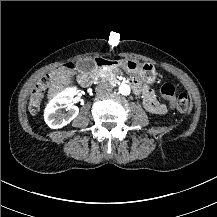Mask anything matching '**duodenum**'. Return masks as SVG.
I'll use <instances>...</instances> for the list:
<instances>
[{
    "mask_svg": "<svg viewBox=\"0 0 217 217\" xmlns=\"http://www.w3.org/2000/svg\"><path fill=\"white\" fill-rule=\"evenodd\" d=\"M94 63H95L96 67H116L119 65L118 60H112V59H107V58H102V57L96 58ZM92 80H93V75H91V74L86 75L83 78V82L86 84L92 82ZM132 85L134 88L139 87V84L136 81H132Z\"/></svg>",
    "mask_w": 217,
    "mask_h": 217,
    "instance_id": "duodenum-1",
    "label": "duodenum"
}]
</instances>
